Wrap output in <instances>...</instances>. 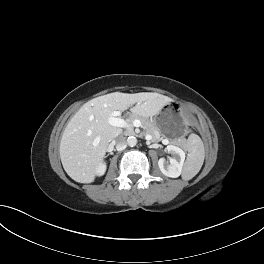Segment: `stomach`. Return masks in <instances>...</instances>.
<instances>
[{
  "mask_svg": "<svg viewBox=\"0 0 264 264\" xmlns=\"http://www.w3.org/2000/svg\"><path fill=\"white\" fill-rule=\"evenodd\" d=\"M181 112V102L171 100L162 107L161 113L154 119V124L163 135L176 138L187 129V120L181 115Z\"/></svg>",
  "mask_w": 264,
  "mask_h": 264,
  "instance_id": "obj_1",
  "label": "stomach"
}]
</instances>
